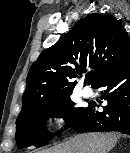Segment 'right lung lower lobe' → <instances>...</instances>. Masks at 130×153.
Masks as SVG:
<instances>
[{"instance_id": "98d812e1", "label": "right lung lower lobe", "mask_w": 130, "mask_h": 153, "mask_svg": "<svg viewBox=\"0 0 130 153\" xmlns=\"http://www.w3.org/2000/svg\"><path fill=\"white\" fill-rule=\"evenodd\" d=\"M93 88H104L101 99L107 105L99 112L96 102L90 101L69 127L82 132L119 131L130 135V59L104 74Z\"/></svg>"}]
</instances>
